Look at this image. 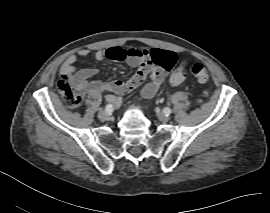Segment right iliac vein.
<instances>
[{
	"mask_svg": "<svg viewBox=\"0 0 270 213\" xmlns=\"http://www.w3.org/2000/svg\"><path fill=\"white\" fill-rule=\"evenodd\" d=\"M98 118L101 121H105V120L109 119V113L106 110H102L98 113Z\"/></svg>",
	"mask_w": 270,
	"mask_h": 213,
	"instance_id": "1",
	"label": "right iliac vein"
}]
</instances>
